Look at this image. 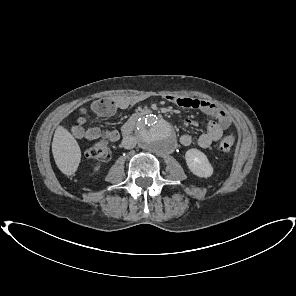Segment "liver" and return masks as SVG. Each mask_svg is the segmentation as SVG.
Returning a JSON list of instances; mask_svg holds the SVG:
<instances>
[{
	"label": "liver",
	"instance_id": "obj_1",
	"mask_svg": "<svg viewBox=\"0 0 296 296\" xmlns=\"http://www.w3.org/2000/svg\"><path fill=\"white\" fill-rule=\"evenodd\" d=\"M52 153L57 167L67 175H73L81 161V150L76 139L63 126L55 130Z\"/></svg>",
	"mask_w": 296,
	"mask_h": 296
}]
</instances>
